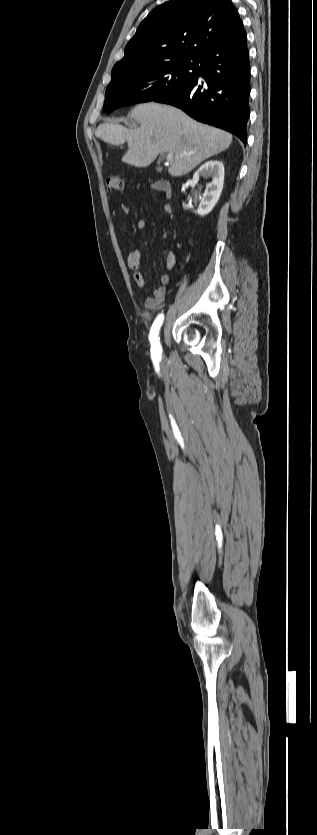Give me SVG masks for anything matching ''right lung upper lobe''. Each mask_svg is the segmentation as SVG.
<instances>
[{"label": "right lung upper lobe", "mask_w": 317, "mask_h": 835, "mask_svg": "<svg viewBox=\"0 0 317 835\" xmlns=\"http://www.w3.org/2000/svg\"><path fill=\"white\" fill-rule=\"evenodd\" d=\"M240 38H246V32L230 0H171L141 22L112 73L198 61Z\"/></svg>", "instance_id": "obj_1"}]
</instances>
